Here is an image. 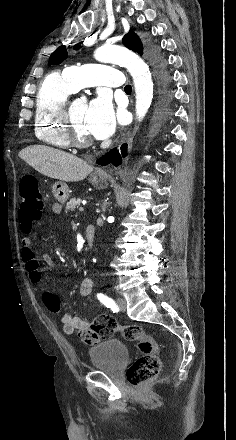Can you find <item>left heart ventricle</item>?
I'll use <instances>...</instances> for the list:
<instances>
[{
  "instance_id": "obj_1",
  "label": "left heart ventricle",
  "mask_w": 236,
  "mask_h": 440,
  "mask_svg": "<svg viewBox=\"0 0 236 440\" xmlns=\"http://www.w3.org/2000/svg\"><path fill=\"white\" fill-rule=\"evenodd\" d=\"M87 109V103L84 100L76 99L72 106V116L75 128L80 136L90 137V133L85 123V113Z\"/></svg>"
}]
</instances>
